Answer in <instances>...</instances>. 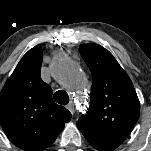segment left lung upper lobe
<instances>
[{
	"instance_id": "left-lung-upper-lobe-1",
	"label": "left lung upper lobe",
	"mask_w": 151,
	"mask_h": 151,
	"mask_svg": "<svg viewBox=\"0 0 151 151\" xmlns=\"http://www.w3.org/2000/svg\"><path fill=\"white\" fill-rule=\"evenodd\" d=\"M79 52L90 69L93 83L90 108L77 121L84 137L122 139L137 122L140 103L132 81L114 56L101 45L82 44Z\"/></svg>"
}]
</instances>
